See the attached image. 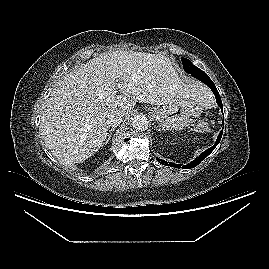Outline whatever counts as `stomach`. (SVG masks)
Segmentation results:
<instances>
[{"label": "stomach", "mask_w": 269, "mask_h": 269, "mask_svg": "<svg viewBox=\"0 0 269 269\" xmlns=\"http://www.w3.org/2000/svg\"><path fill=\"white\" fill-rule=\"evenodd\" d=\"M201 112L202 105L189 97L163 107L151 108L149 113L163 130L179 131L195 122Z\"/></svg>", "instance_id": "obj_1"}]
</instances>
